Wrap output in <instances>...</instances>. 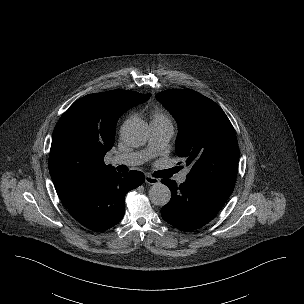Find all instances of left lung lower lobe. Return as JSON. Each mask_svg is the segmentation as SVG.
<instances>
[{"instance_id": "1", "label": "left lung lower lobe", "mask_w": 304, "mask_h": 304, "mask_svg": "<svg viewBox=\"0 0 304 304\" xmlns=\"http://www.w3.org/2000/svg\"><path fill=\"white\" fill-rule=\"evenodd\" d=\"M172 197L161 209L163 219L172 226L192 231L211 221L230 195L189 181L177 185L174 180L163 179Z\"/></svg>"}]
</instances>
